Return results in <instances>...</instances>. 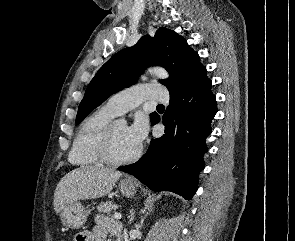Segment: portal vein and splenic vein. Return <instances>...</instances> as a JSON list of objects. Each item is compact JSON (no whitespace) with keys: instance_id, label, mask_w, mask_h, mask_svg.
I'll list each match as a JSON object with an SVG mask.
<instances>
[{"instance_id":"18ae733b","label":"portal vein and splenic vein","mask_w":295,"mask_h":241,"mask_svg":"<svg viewBox=\"0 0 295 241\" xmlns=\"http://www.w3.org/2000/svg\"><path fill=\"white\" fill-rule=\"evenodd\" d=\"M114 217H115V219L120 220L121 217H122V215H121L120 213L116 212V213L114 214Z\"/></svg>"}]
</instances>
